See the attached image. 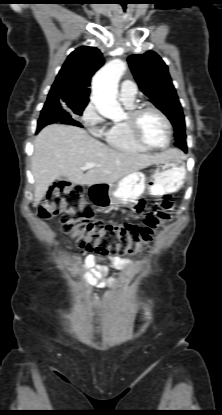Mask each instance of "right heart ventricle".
Instances as JSON below:
<instances>
[{
	"label": "right heart ventricle",
	"mask_w": 222,
	"mask_h": 415,
	"mask_svg": "<svg viewBox=\"0 0 222 415\" xmlns=\"http://www.w3.org/2000/svg\"><path fill=\"white\" fill-rule=\"evenodd\" d=\"M123 102L129 110L135 107L134 101ZM102 135L105 141L117 150L131 153H144L149 151V149L141 146L135 141L125 121L112 123Z\"/></svg>",
	"instance_id": "right-heart-ventricle-1"
}]
</instances>
